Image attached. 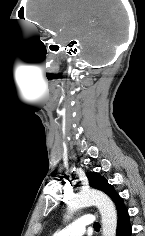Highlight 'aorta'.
<instances>
[{"label": "aorta", "instance_id": "762f6f07", "mask_svg": "<svg viewBox=\"0 0 145 236\" xmlns=\"http://www.w3.org/2000/svg\"><path fill=\"white\" fill-rule=\"evenodd\" d=\"M90 205L98 207L102 217V235L116 236L117 213L113 202L104 193L97 190H82L67 203V212L72 215L78 209Z\"/></svg>", "mask_w": 145, "mask_h": 236}]
</instances>
